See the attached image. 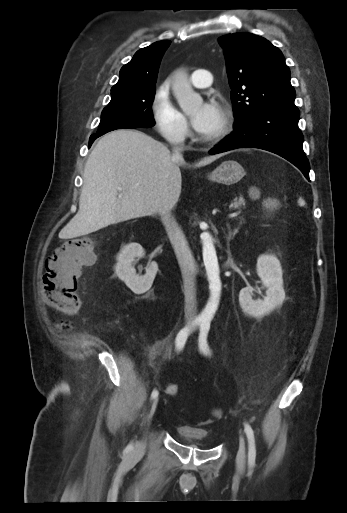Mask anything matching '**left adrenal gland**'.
I'll return each mask as SVG.
<instances>
[{
    "instance_id": "1",
    "label": "left adrenal gland",
    "mask_w": 347,
    "mask_h": 513,
    "mask_svg": "<svg viewBox=\"0 0 347 513\" xmlns=\"http://www.w3.org/2000/svg\"><path fill=\"white\" fill-rule=\"evenodd\" d=\"M242 225V221L239 222V225L237 228H234V230L232 231L231 228H230V225L227 224V228H228V236L230 237V239H234L235 235L238 233L240 227Z\"/></svg>"
}]
</instances>
